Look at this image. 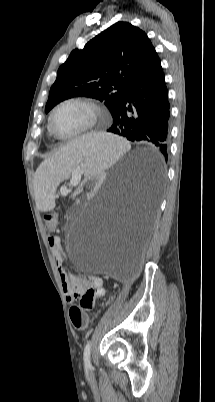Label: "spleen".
I'll list each match as a JSON object with an SVG mask.
<instances>
[{
	"mask_svg": "<svg viewBox=\"0 0 215 402\" xmlns=\"http://www.w3.org/2000/svg\"><path fill=\"white\" fill-rule=\"evenodd\" d=\"M130 144L122 138L104 133H86L71 141L51 159L42 163L37 171L40 188L35 190L37 207L41 211L58 207L52 192L62 180L72 173L95 175L97 170L109 168Z\"/></svg>",
	"mask_w": 215,
	"mask_h": 402,
	"instance_id": "spleen-1",
	"label": "spleen"
}]
</instances>
